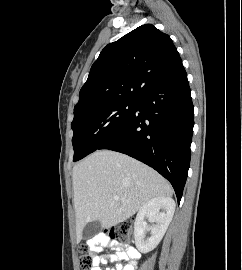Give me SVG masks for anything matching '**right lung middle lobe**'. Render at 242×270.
Masks as SVG:
<instances>
[{
    "label": "right lung middle lobe",
    "instance_id": "right-lung-middle-lobe-1",
    "mask_svg": "<svg viewBox=\"0 0 242 270\" xmlns=\"http://www.w3.org/2000/svg\"><path fill=\"white\" fill-rule=\"evenodd\" d=\"M137 100H117L74 115L73 161L97 150L114 136L134 112Z\"/></svg>",
    "mask_w": 242,
    "mask_h": 270
}]
</instances>
